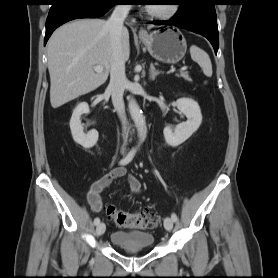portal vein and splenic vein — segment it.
Masks as SVG:
<instances>
[{
    "label": "portal vein and splenic vein",
    "instance_id": "portal-vein-and-splenic-vein-1",
    "mask_svg": "<svg viewBox=\"0 0 278 278\" xmlns=\"http://www.w3.org/2000/svg\"><path fill=\"white\" fill-rule=\"evenodd\" d=\"M188 69L187 66H184V67H181L180 68V71H186ZM94 70L97 72V73H101L103 71V67L102 66H95L94 67Z\"/></svg>",
    "mask_w": 278,
    "mask_h": 278
}]
</instances>
